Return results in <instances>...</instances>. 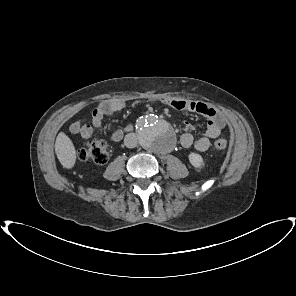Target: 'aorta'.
<instances>
[{
    "label": "aorta",
    "instance_id": "1",
    "mask_svg": "<svg viewBox=\"0 0 296 296\" xmlns=\"http://www.w3.org/2000/svg\"><path fill=\"white\" fill-rule=\"evenodd\" d=\"M138 140L147 151L164 154L175 146V133L165 120L150 114L137 121Z\"/></svg>",
    "mask_w": 296,
    "mask_h": 296
}]
</instances>
